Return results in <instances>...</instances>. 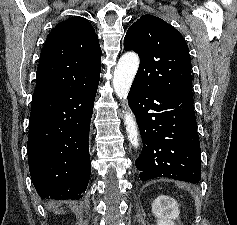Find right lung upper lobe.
Here are the masks:
<instances>
[{"mask_svg":"<svg viewBox=\"0 0 237 225\" xmlns=\"http://www.w3.org/2000/svg\"><path fill=\"white\" fill-rule=\"evenodd\" d=\"M100 57L98 36L87 19L75 16L60 22L41 51L32 99L60 96L99 80Z\"/></svg>","mask_w":237,"mask_h":225,"instance_id":"cb5924a9","label":"right lung upper lobe"}]
</instances>
